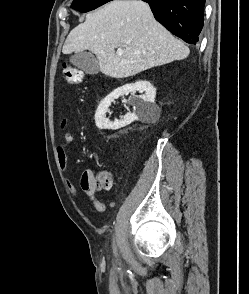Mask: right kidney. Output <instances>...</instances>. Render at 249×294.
I'll use <instances>...</instances> for the list:
<instances>
[{
    "label": "right kidney",
    "instance_id": "ca27d5eb",
    "mask_svg": "<svg viewBox=\"0 0 249 294\" xmlns=\"http://www.w3.org/2000/svg\"><path fill=\"white\" fill-rule=\"evenodd\" d=\"M143 93L139 97L136 92ZM132 94L133 99L130 103L133 106V112H128L121 120L110 121L106 118V113L111 103L120 96ZM156 89L146 80H140L135 83L123 85L107 95L99 104L95 113V124L99 129L117 130L131 124L135 120L149 122L156 120L160 114L159 106L155 103ZM127 102V100H123Z\"/></svg>",
    "mask_w": 249,
    "mask_h": 294
}]
</instances>
